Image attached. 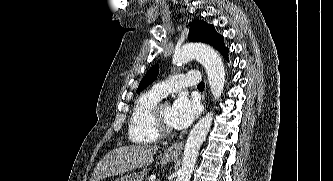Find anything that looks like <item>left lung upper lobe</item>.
I'll list each match as a JSON object with an SVG mask.
<instances>
[{"mask_svg":"<svg viewBox=\"0 0 333 181\" xmlns=\"http://www.w3.org/2000/svg\"><path fill=\"white\" fill-rule=\"evenodd\" d=\"M188 39L191 42L208 43L224 54L227 49L223 42V36L217 34L213 25L205 23L203 20L193 21L189 30ZM159 73V65H154L141 80L137 93L149 86Z\"/></svg>","mask_w":333,"mask_h":181,"instance_id":"obj_1","label":"left lung upper lobe"}]
</instances>
